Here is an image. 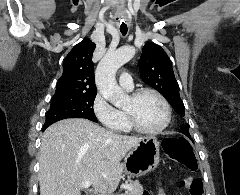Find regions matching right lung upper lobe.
<instances>
[{"instance_id": "cb5924a9", "label": "right lung upper lobe", "mask_w": 240, "mask_h": 195, "mask_svg": "<svg viewBox=\"0 0 240 195\" xmlns=\"http://www.w3.org/2000/svg\"><path fill=\"white\" fill-rule=\"evenodd\" d=\"M95 44L84 39L65 57L63 74L54 95H96L94 64L91 60Z\"/></svg>"}]
</instances>
